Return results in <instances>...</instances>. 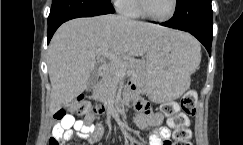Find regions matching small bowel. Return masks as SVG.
Listing matches in <instances>:
<instances>
[{
    "mask_svg": "<svg viewBox=\"0 0 243 145\" xmlns=\"http://www.w3.org/2000/svg\"><path fill=\"white\" fill-rule=\"evenodd\" d=\"M132 90L134 91L135 88L132 87ZM86 107L89 108L90 104L87 103ZM136 109L138 115L135 123L138 129L147 130L156 127L149 136V145H168L170 130L168 127L161 126L163 115L152 112L149 105L141 100L136 101ZM103 131L101 124H93L92 115H87L84 120H75L73 116L69 115L54 125L52 135L60 139L61 145H69L68 141L74 135L81 139H87L90 143H97L101 139Z\"/></svg>",
    "mask_w": 243,
    "mask_h": 145,
    "instance_id": "1",
    "label": "small bowel"
}]
</instances>
